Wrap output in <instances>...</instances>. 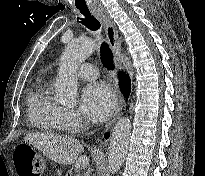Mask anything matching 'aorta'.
<instances>
[{"label":"aorta","mask_w":205,"mask_h":176,"mask_svg":"<svg viewBox=\"0 0 205 176\" xmlns=\"http://www.w3.org/2000/svg\"><path fill=\"white\" fill-rule=\"evenodd\" d=\"M96 44L89 38L72 40L65 48L61 57L60 69L54 83V92L58 100L74 103L77 99V69L95 50ZM131 121L121 118L112 132L108 168L114 174L122 166L130 140Z\"/></svg>","instance_id":"aorta-1"}]
</instances>
